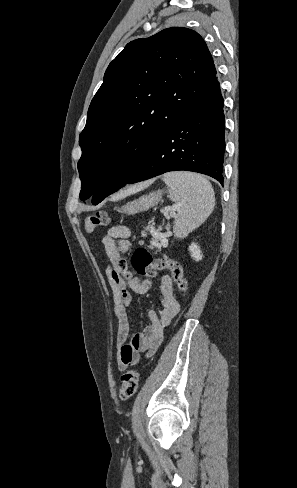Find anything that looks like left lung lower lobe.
I'll return each instance as SVG.
<instances>
[{"instance_id":"1","label":"left lung lower lobe","mask_w":297,"mask_h":488,"mask_svg":"<svg viewBox=\"0 0 297 488\" xmlns=\"http://www.w3.org/2000/svg\"><path fill=\"white\" fill-rule=\"evenodd\" d=\"M223 106L224 101L218 84L173 126L126 184L140 182L169 171L186 170L209 175L223 185Z\"/></svg>"}]
</instances>
